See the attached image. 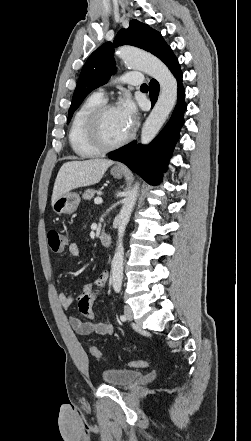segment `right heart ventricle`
<instances>
[{
    "label": "right heart ventricle",
    "mask_w": 251,
    "mask_h": 441,
    "mask_svg": "<svg viewBox=\"0 0 251 441\" xmlns=\"http://www.w3.org/2000/svg\"><path fill=\"white\" fill-rule=\"evenodd\" d=\"M102 103L104 98L94 93L83 101L72 118L68 134L69 143L74 153L81 158H93L101 153L90 143L86 124L91 112Z\"/></svg>",
    "instance_id": "1"
}]
</instances>
